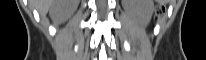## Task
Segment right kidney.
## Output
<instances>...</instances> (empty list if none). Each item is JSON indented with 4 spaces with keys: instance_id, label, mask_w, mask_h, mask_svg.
I'll list each match as a JSON object with an SVG mask.
<instances>
[{
    "instance_id": "obj_1",
    "label": "right kidney",
    "mask_w": 206,
    "mask_h": 60,
    "mask_svg": "<svg viewBox=\"0 0 206 60\" xmlns=\"http://www.w3.org/2000/svg\"><path fill=\"white\" fill-rule=\"evenodd\" d=\"M75 5L76 3L71 6V4L66 1L55 2L51 7L50 15L55 21L64 20L73 13Z\"/></svg>"
}]
</instances>
